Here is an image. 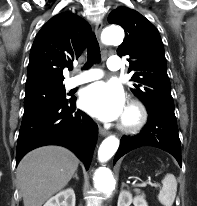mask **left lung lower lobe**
<instances>
[{
	"label": "left lung lower lobe",
	"mask_w": 197,
	"mask_h": 206,
	"mask_svg": "<svg viewBox=\"0 0 197 206\" xmlns=\"http://www.w3.org/2000/svg\"><path fill=\"white\" fill-rule=\"evenodd\" d=\"M148 111V121L141 132L123 136L114 157L115 162L127 152L142 146H153L172 154L181 166V147L174 112L165 109Z\"/></svg>",
	"instance_id": "1"
}]
</instances>
